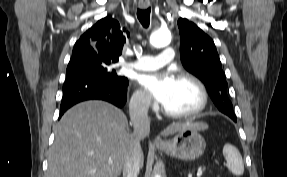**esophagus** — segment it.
<instances>
[{"label": "esophagus", "mask_w": 287, "mask_h": 177, "mask_svg": "<svg viewBox=\"0 0 287 177\" xmlns=\"http://www.w3.org/2000/svg\"><path fill=\"white\" fill-rule=\"evenodd\" d=\"M138 6L140 9L146 10L150 7V1L149 0H139ZM156 144L161 146V145H164L165 143L162 140L157 139Z\"/></svg>", "instance_id": "34e87169"}]
</instances>
